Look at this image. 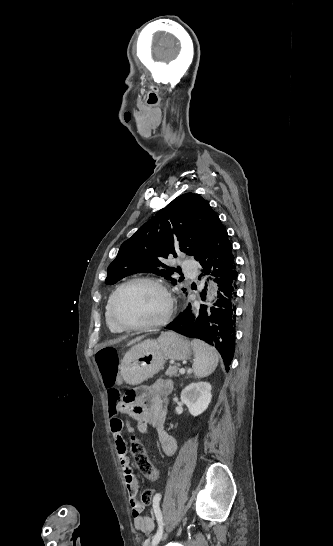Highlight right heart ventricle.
I'll list each match as a JSON object with an SVG mask.
<instances>
[{"label": "right heart ventricle", "mask_w": 333, "mask_h": 546, "mask_svg": "<svg viewBox=\"0 0 333 546\" xmlns=\"http://www.w3.org/2000/svg\"><path fill=\"white\" fill-rule=\"evenodd\" d=\"M110 298H111V295L109 296V298L107 299V302H106V305H105V321H106V325L108 327V329L114 333V334H120L122 333L123 331L121 329H119L114 323L113 321L111 320V317H110V312H109V305H110Z\"/></svg>", "instance_id": "1"}]
</instances>
